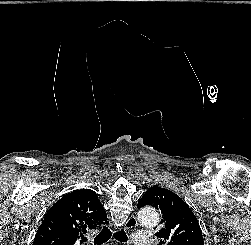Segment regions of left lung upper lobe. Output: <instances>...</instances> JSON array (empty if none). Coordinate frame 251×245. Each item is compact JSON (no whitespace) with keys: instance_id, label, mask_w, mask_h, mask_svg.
I'll list each match as a JSON object with an SVG mask.
<instances>
[{"instance_id":"1","label":"left lung upper lobe","mask_w":251,"mask_h":245,"mask_svg":"<svg viewBox=\"0 0 251 245\" xmlns=\"http://www.w3.org/2000/svg\"><path fill=\"white\" fill-rule=\"evenodd\" d=\"M151 205L160 210L162 220L159 245H204L199 223L188 205L172 191L153 186L139 200L137 207Z\"/></svg>"}]
</instances>
